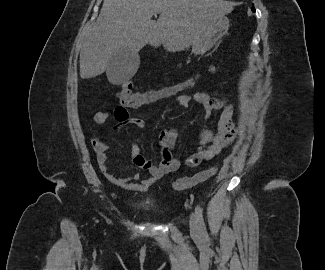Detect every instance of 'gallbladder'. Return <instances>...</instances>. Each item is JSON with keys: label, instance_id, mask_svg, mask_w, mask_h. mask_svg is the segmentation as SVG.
I'll use <instances>...</instances> for the list:
<instances>
[{"label": "gallbladder", "instance_id": "bac80fb5", "mask_svg": "<svg viewBox=\"0 0 325 270\" xmlns=\"http://www.w3.org/2000/svg\"><path fill=\"white\" fill-rule=\"evenodd\" d=\"M140 64L138 53H133L129 48H123L115 52L109 59L107 76L119 79L131 78Z\"/></svg>", "mask_w": 325, "mask_h": 270}]
</instances>
